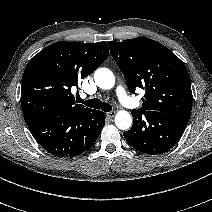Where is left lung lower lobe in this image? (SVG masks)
<instances>
[{
    "label": "left lung lower lobe",
    "instance_id": "0a47b994",
    "mask_svg": "<svg viewBox=\"0 0 212 212\" xmlns=\"http://www.w3.org/2000/svg\"><path fill=\"white\" fill-rule=\"evenodd\" d=\"M132 115L133 126L123 135L134 149L151 155L163 154L174 147L190 118L184 114L155 110Z\"/></svg>",
    "mask_w": 212,
    "mask_h": 212
}]
</instances>
